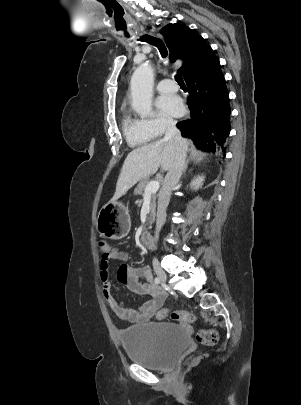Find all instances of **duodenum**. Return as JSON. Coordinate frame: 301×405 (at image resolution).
I'll use <instances>...</instances> for the list:
<instances>
[{
	"label": "duodenum",
	"mask_w": 301,
	"mask_h": 405,
	"mask_svg": "<svg viewBox=\"0 0 301 405\" xmlns=\"http://www.w3.org/2000/svg\"><path fill=\"white\" fill-rule=\"evenodd\" d=\"M141 240H142V243H143L146 247H148V248H150V249L155 248V241H154V238H153V236H152L151 233H149V232H143V233H142V236H141Z\"/></svg>",
	"instance_id": "obj_1"
}]
</instances>
